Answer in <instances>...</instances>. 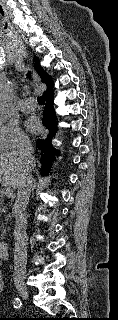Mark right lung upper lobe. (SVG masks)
<instances>
[{
  "instance_id": "cb5924a9",
  "label": "right lung upper lobe",
  "mask_w": 118,
  "mask_h": 320,
  "mask_svg": "<svg viewBox=\"0 0 118 320\" xmlns=\"http://www.w3.org/2000/svg\"><path fill=\"white\" fill-rule=\"evenodd\" d=\"M35 61H36V64L39 65V62H40L39 59L36 58ZM36 70L39 71V75L41 76L42 81L45 82V84H46L47 87H48V88H47V91H46L43 95L45 96V95L53 92V82H52L50 76H49L47 73H45V72L43 71V69L40 68V66H36Z\"/></svg>"
}]
</instances>
